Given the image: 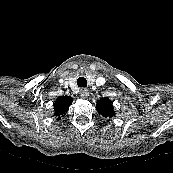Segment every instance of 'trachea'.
<instances>
[{"label": "trachea", "mask_w": 173, "mask_h": 173, "mask_svg": "<svg viewBox=\"0 0 173 173\" xmlns=\"http://www.w3.org/2000/svg\"><path fill=\"white\" fill-rule=\"evenodd\" d=\"M77 85L78 87H86L87 86V80L84 77H79L77 79Z\"/></svg>", "instance_id": "obj_1"}]
</instances>
